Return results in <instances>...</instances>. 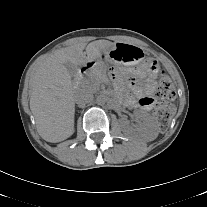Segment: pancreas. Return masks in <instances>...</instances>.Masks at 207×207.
Here are the masks:
<instances>
[{
    "mask_svg": "<svg viewBox=\"0 0 207 207\" xmlns=\"http://www.w3.org/2000/svg\"><path fill=\"white\" fill-rule=\"evenodd\" d=\"M104 77L105 74L103 68L98 67L94 69L89 77L82 83V87L91 91H96Z\"/></svg>",
    "mask_w": 207,
    "mask_h": 207,
    "instance_id": "cf45deb5",
    "label": "pancreas"
}]
</instances>
